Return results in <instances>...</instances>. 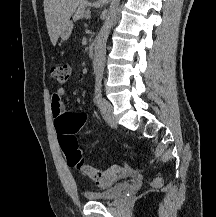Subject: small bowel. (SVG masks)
Wrapping results in <instances>:
<instances>
[{"label": "small bowel", "instance_id": "obj_1", "mask_svg": "<svg viewBox=\"0 0 216 217\" xmlns=\"http://www.w3.org/2000/svg\"><path fill=\"white\" fill-rule=\"evenodd\" d=\"M67 90L63 87L58 88L51 97V114L55 123L65 114V107L63 97L66 95ZM131 172V168L126 167L125 173Z\"/></svg>", "mask_w": 216, "mask_h": 217}]
</instances>
